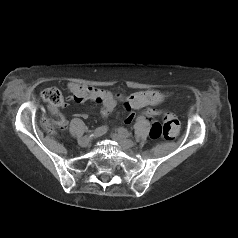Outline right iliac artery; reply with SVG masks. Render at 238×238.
Here are the masks:
<instances>
[{
    "label": "right iliac artery",
    "instance_id": "1",
    "mask_svg": "<svg viewBox=\"0 0 238 238\" xmlns=\"http://www.w3.org/2000/svg\"><path fill=\"white\" fill-rule=\"evenodd\" d=\"M108 128L107 126H101L98 127L91 135L90 137H98L101 136L103 134H105L107 132Z\"/></svg>",
    "mask_w": 238,
    "mask_h": 238
}]
</instances>
